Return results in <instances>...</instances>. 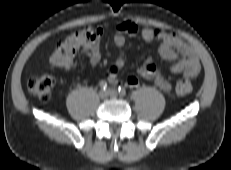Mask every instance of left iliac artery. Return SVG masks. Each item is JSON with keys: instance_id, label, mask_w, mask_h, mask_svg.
<instances>
[{"instance_id": "44dca946", "label": "left iliac artery", "mask_w": 231, "mask_h": 170, "mask_svg": "<svg viewBox=\"0 0 231 170\" xmlns=\"http://www.w3.org/2000/svg\"><path fill=\"white\" fill-rule=\"evenodd\" d=\"M118 92L122 96L126 95V89L124 87H122V86L118 87Z\"/></svg>"}]
</instances>
